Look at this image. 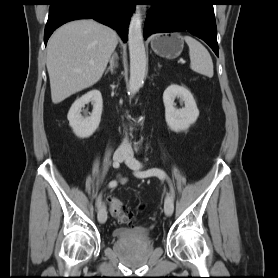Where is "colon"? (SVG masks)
<instances>
[{
    "label": "colon",
    "mask_w": 278,
    "mask_h": 278,
    "mask_svg": "<svg viewBox=\"0 0 278 278\" xmlns=\"http://www.w3.org/2000/svg\"><path fill=\"white\" fill-rule=\"evenodd\" d=\"M110 211L112 216L120 222L130 224L134 221V214L127 210L122 201L117 198L110 199Z\"/></svg>",
    "instance_id": "5ec220e1"
}]
</instances>
